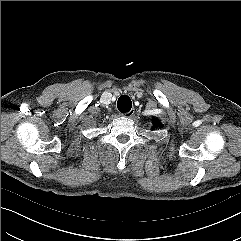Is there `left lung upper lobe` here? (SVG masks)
Here are the masks:
<instances>
[{"label": "left lung upper lobe", "instance_id": "left-lung-upper-lobe-1", "mask_svg": "<svg viewBox=\"0 0 241 241\" xmlns=\"http://www.w3.org/2000/svg\"><path fill=\"white\" fill-rule=\"evenodd\" d=\"M153 126L154 128H158V127H161L162 124L159 120H157L156 118L153 119Z\"/></svg>", "mask_w": 241, "mask_h": 241}]
</instances>
